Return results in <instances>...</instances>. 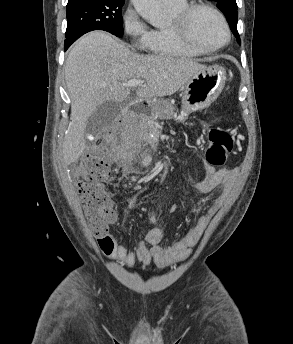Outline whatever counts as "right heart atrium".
I'll return each mask as SVG.
<instances>
[{
  "mask_svg": "<svg viewBox=\"0 0 293 344\" xmlns=\"http://www.w3.org/2000/svg\"><path fill=\"white\" fill-rule=\"evenodd\" d=\"M122 27L124 34L136 49L146 48L151 30L131 6L127 7L122 15Z\"/></svg>",
  "mask_w": 293,
  "mask_h": 344,
  "instance_id": "obj_1",
  "label": "right heart atrium"
}]
</instances>
